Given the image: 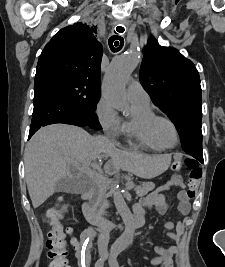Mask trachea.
<instances>
[{
    "label": "trachea",
    "mask_w": 225,
    "mask_h": 267,
    "mask_svg": "<svg viewBox=\"0 0 225 267\" xmlns=\"http://www.w3.org/2000/svg\"><path fill=\"white\" fill-rule=\"evenodd\" d=\"M117 32L119 33H123L124 32V27L122 26H118L116 28ZM109 47L113 52H117L119 50L122 49L123 45H124V39L119 36V35H113L109 38Z\"/></svg>",
    "instance_id": "trachea-1"
}]
</instances>
